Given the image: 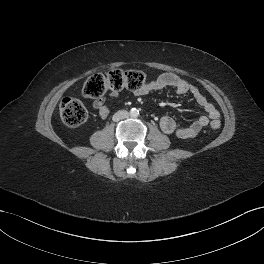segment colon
<instances>
[{"label": "colon", "instance_id": "obj_1", "mask_svg": "<svg viewBox=\"0 0 264 264\" xmlns=\"http://www.w3.org/2000/svg\"><path fill=\"white\" fill-rule=\"evenodd\" d=\"M146 84V77L140 71L110 70L102 74L97 73L89 76L82 87V95L86 98H99L105 93H118L123 89L137 91ZM60 116L68 126H78L87 118V110L83 103L72 97H66L60 102ZM220 122L211 121L209 128L212 131L218 130Z\"/></svg>", "mask_w": 264, "mask_h": 264}]
</instances>
